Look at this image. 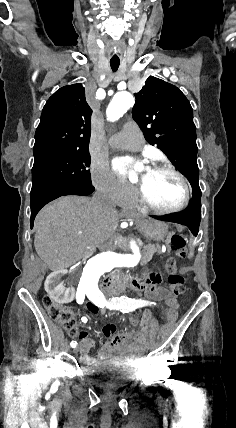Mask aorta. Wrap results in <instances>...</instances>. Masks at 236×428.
Listing matches in <instances>:
<instances>
[{"label":"aorta","instance_id":"1","mask_svg":"<svg viewBox=\"0 0 236 428\" xmlns=\"http://www.w3.org/2000/svg\"><path fill=\"white\" fill-rule=\"evenodd\" d=\"M135 103L134 97L129 92L116 93L107 110L109 121H116L124 115ZM132 253L120 254L114 251L103 252L90 258L85 264L80 277V290L86 294L100 293L98 282L100 277L116 267H134L140 260V249L135 241L130 242Z\"/></svg>","mask_w":236,"mask_h":428}]
</instances>
